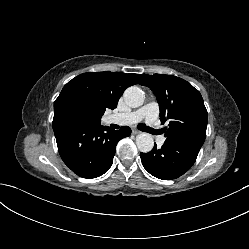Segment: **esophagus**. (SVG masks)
<instances>
[{"mask_svg":"<svg viewBox=\"0 0 249 249\" xmlns=\"http://www.w3.org/2000/svg\"><path fill=\"white\" fill-rule=\"evenodd\" d=\"M132 133L136 135V134H140L141 131L136 128H132Z\"/></svg>","mask_w":249,"mask_h":249,"instance_id":"1","label":"esophagus"}]
</instances>
